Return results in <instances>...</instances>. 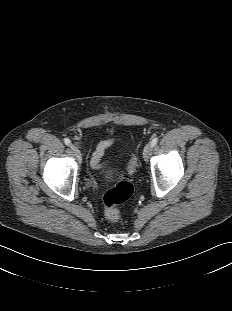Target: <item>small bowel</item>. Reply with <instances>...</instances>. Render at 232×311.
<instances>
[{"label": "small bowel", "instance_id": "c3829d8e", "mask_svg": "<svg viewBox=\"0 0 232 311\" xmlns=\"http://www.w3.org/2000/svg\"><path fill=\"white\" fill-rule=\"evenodd\" d=\"M112 144H113L112 138L105 139L98 144L95 152L92 155L91 161H90V166L92 169L100 170L101 168H103L105 163L101 162V158H102L105 150L108 147H110Z\"/></svg>", "mask_w": 232, "mask_h": 311}]
</instances>
